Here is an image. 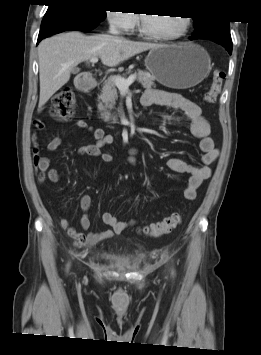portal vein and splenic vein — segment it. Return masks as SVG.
Segmentation results:
<instances>
[{"instance_id": "obj_1", "label": "portal vein and splenic vein", "mask_w": 261, "mask_h": 355, "mask_svg": "<svg viewBox=\"0 0 261 355\" xmlns=\"http://www.w3.org/2000/svg\"><path fill=\"white\" fill-rule=\"evenodd\" d=\"M91 63H97L98 62V57H92L90 59ZM137 75L133 74L129 76L127 79H124L122 77L115 76L113 77V82L115 86L120 90V91H128L129 86L136 80Z\"/></svg>"}]
</instances>
